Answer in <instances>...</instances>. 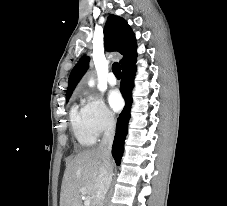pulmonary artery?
I'll list each match as a JSON object with an SVG mask.
<instances>
[{"instance_id": "obj_1", "label": "pulmonary artery", "mask_w": 227, "mask_h": 206, "mask_svg": "<svg viewBox=\"0 0 227 206\" xmlns=\"http://www.w3.org/2000/svg\"><path fill=\"white\" fill-rule=\"evenodd\" d=\"M108 83L111 85V86H114L117 84V79L115 77V75L113 73H109L108 75Z\"/></svg>"}]
</instances>
